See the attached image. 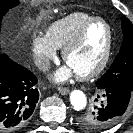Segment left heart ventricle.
Instances as JSON below:
<instances>
[{"mask_svg": "<svg viewBox=\"0 0 133 133\" xmlns=\"http://www.w3.org/2000/svg\"><path fill=\"white\" fill-rule=\"evenodd\" d=\"M107 38V28L103 23L91 25L82 42L69 55L67 65L75 74L91 71L103 57Z\"/></svg>", "mask_w": 133, "mask_h": 133, "instance_id": "left-heart-ventricle-1", "label": "left heart ventricle"}]
</instances>
